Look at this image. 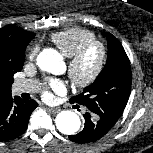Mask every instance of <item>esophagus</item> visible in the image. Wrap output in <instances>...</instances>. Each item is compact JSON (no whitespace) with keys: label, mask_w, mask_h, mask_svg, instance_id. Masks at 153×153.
Wrapping results in <instances>:
<instances>
[{"label":"esophagus","mask_w":153,"mask_h":153,"mask_svg":"<svg viewBox=\"0 0 153 153\" xmlns=\"http://www.w3.org/2000/svg\"><path fill=\"white\" fill-rule=\"evenodd\" d=\"M48 110L52 113V114H57L60 112V108H48Z\"/></svg>","instance_id":"obj_1"}]
</instances>
